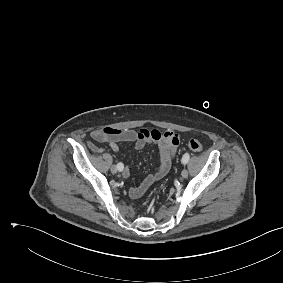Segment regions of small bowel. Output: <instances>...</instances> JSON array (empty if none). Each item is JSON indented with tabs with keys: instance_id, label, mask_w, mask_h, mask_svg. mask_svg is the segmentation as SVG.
<instances>
[{
	"instance_id": "c3829d8e",
	"label": "small bowel",
	"mask_w": 283,
	"mask_h": 283,
	"mask_svg": "<svg viewBox=\"0 0 283 283\" xmlns=\"http://www.w3.org/2000/svg\"><path fill=\"white\" fill-rule=\"evenodd\" d=\"M91 137L97 142H108L110 149L115 153L119 151V142H132L136 149H142L149 143L158 145L159 161L155 171L150 173L139 186L129 189V195L134 199L141 197L154 182L167 174L180 139L179 135L173 131L116 129L111 127L94 130ZM123 175L125 177L130 176L127 167Z\"/></svg>"
}]
</instances>
